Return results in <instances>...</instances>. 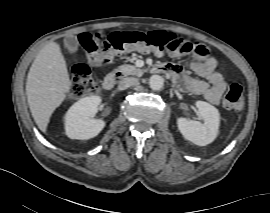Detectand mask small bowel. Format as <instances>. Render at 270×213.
Returning a JSON list of instances; mask_svg holds the SVG:
<instances>
[{"label":"small bowel","instance_id":"small-bowel-1","mask_svg":"<svg viewBox=\"0 0 270 213\" xmlns=\"http://www.w3.org/2000/svg\"><path fill=\"white\" fill-rule=\"evenodd\" d=\"M158 67L168 71L180 89L202 95L212 104H217L227 89L222 74L216 71L217 60L209 52L190 63L191 71L203 80L186 79L182 74V67L178 64L166 63Z\"/></svg>","mask_w":270,"mask_h":213}]
</instances>
